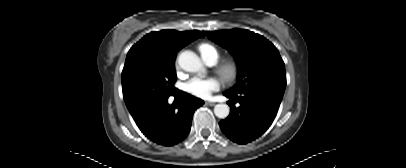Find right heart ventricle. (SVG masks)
I'll return each instance as SVG.
<instances>
[{
	"instance_id": "e07e8e85",
	"label": "right heart ventricle",
	"mask_w": 406,
	"mask_h": 168,
	"mask_svg": "<svg viewBox=\"0 0 406 168\" xmlns=\"http://www.w3.org/2000/svg\"><path fill=\"white\" fill-rule=\"evenodd\" d=\"M198 50L206 63H216L220 57L219 50L212 44L203 42L198 45Z\"/></svg>"
}]
</instances>
